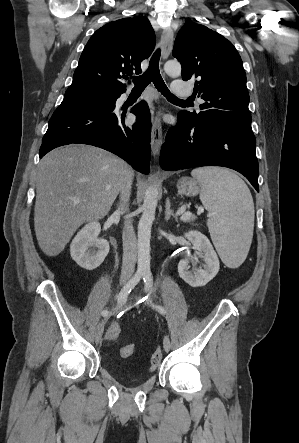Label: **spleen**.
I'll use <instances>...</instances> for the list:
<instances>
[{
    "mask_svg": "<svg viewBox=\"0 0 299 443\" xmlns=\"http://www.w3.org/2000/svg\"><path fill=\"white\" fill-rule=\"evenodd\" d=\"M191 175L201 183L200 199L211 213L207 226L219 256L228 267H239L248 254L254 229V203L248 187L224 168H197Z\"/></svg>",
    "mask_w": 299,
    "mask_h": 443,
    "instance_id": "obj_1",
    "label": "spleen"
}]
</instances>
